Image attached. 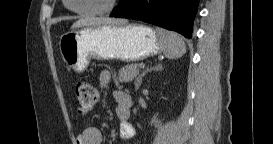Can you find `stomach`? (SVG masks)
<instances>
[{"label": "stomach", "instance_id": "0dacf381", "mask_svg": "<svg viewBox=\"0 0 273 144\" xmlns=\"http://www.w3.org/2000/svg\"><path fill=\"white\" fill-rule=\"evenodd\" d=\"M63 61L83 72L91 59L143 60L163 51L154 29L138 24L87 26L63 34L59 41Z\"/></svg>", "mask_w": 273, "mask_h": 144}]
</instances>
